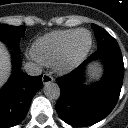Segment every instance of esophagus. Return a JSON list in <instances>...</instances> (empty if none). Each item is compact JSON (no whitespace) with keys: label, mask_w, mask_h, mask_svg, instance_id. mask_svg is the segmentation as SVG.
<instances>
[{"label":"esophagus","mask_w":128,"mask_h":128,"mask_svg":"<svg viewBox=\"0 0 128 128\" xmlns=\"http://www.w3.org/2000/svg\"><path fill=\"white\" fill-rule=\"evenodd\" d=\"M42 81H43V84L46 85V84L52 83L53 78L49 74H43Z\"/></svg>","instance_id":"esophagus-1"}]
</instances>
